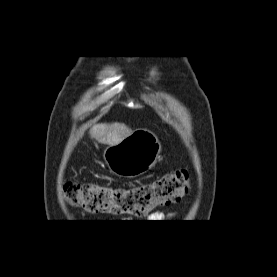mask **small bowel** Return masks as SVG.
Instances as JSON below:
<instances>
[{
	"instance_id": "c3829d8e",
	"label": "small bowel",
	"mask_w": 277,
	"mask_h": 277,
	"mask_svg": "<svg viewBox=\"0 0 277 277\" xmlns=\"http://www.w3.org/2000/svg\"><path fill=\"white\" fill-rule=\"evenodd\" d=\"M174 214L173 213H169V214H164V213H162V212H156V213H153V214H151L150 215V218L152 219V220H157V221H155V222H162V221H160V220H164V219H166V218H168V217H171V216H173ZM159 220V221H158Z\"/></svg>"
}]
</instances>
